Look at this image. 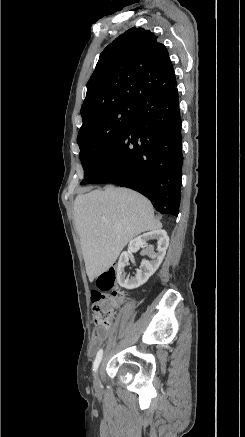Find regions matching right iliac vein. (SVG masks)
<instances>
[{"label":"right iliac vein","instance_id":"right-iliac-vein-1","mask_svg":"<svg viewBox=\"0 0 245 437\" xmlns=\"http://www.w3.org/2000/svg\"><path fill=\"white\" fill-rule=\"evenodd\" d=\"M94 383H95L96 386L99 385V374H98V372H96V374H95Z\"/></svg>","mask_w":245,"mask_h":437}]
</instances>
